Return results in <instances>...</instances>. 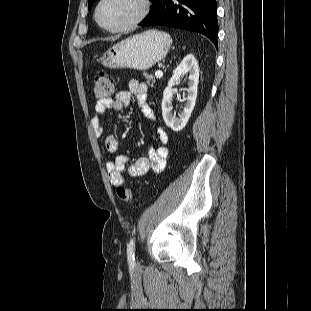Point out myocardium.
I'll return each mask as SVG.
<instances>
[{"mask_svg":"<svg viewBox=\"0 0 311 311\" xmlns=\"http://www.w3.org/2000/svg\"><path fill=\"white\" fill-rule=\"evenodd\" d=\"M105 1L106 0H99V2L97 3L95 7L94 17H95L96 22L102 29L108 32H111V33L127 32V31L134 29L137 25H139L145 19L148 13V9H149L148 0H135L137 7H138L136 15L124 25H121L119 27H109L105 25L100 20V17H99L100 8Z\"/></svg>","mask_w":311,"mask_h":311,"instance_id":"f54148a6","label":"myocardium"}]
</instances>
